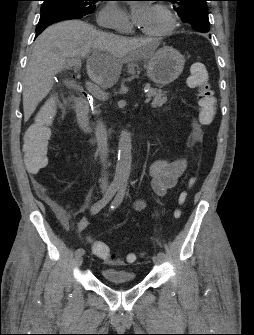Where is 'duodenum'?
<instances>
[{
  "instance_id": "1",
  "label": "duodenum",
  "mask_w": 254,
  "mask_h": 335,
  "mask_svg": "<svg viewBox=\"0 0 254 335\" xmlns=\"http://www.w3.org/2000/svg\"><path fill=\"white\" fill-rule=\"evenodd\" d=\"M88 110L89 102L85 98H79L76 109L78 126L81 131L85 132L88 129Z\"/></svg>"
}]
</instances>
